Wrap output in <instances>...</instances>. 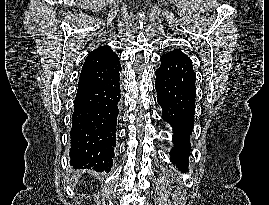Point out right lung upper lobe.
Segmentation results:
<instances>
[{
	"mask_svg": "<svg viewBox=\"0 0 269 205\" xmlns=\"http://www.w3.org/2000/svg\"><path fill=\"white\" fill-rule=\"evenodd\" d=\"M119 57L109 46H101L90 52L83 64L78 88L110 85L120 79Z\"/></svg>",
	"mask_w": 269,
	"mask_h": 205,
	"instance_id": "1",
	"label": "right lung upper lobe"
}]
</instances>
